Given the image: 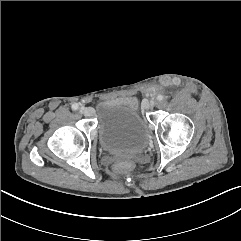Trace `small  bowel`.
Returning <instances> with one entry per match:
<instances>
[{
	"label": "small bowel",
	"mask_w": 241,
	"mask_h": 241,
	"mask_svg": "<svg viewBox=\"0 0 241 241\" xmlns=\"http://www.w3.org/2000/svg\"><path fill=\"white\" fill-rule=\"evenodd\" d=\"M122 101L130 106L136 105V99L134 97H126V98H123Z\"/></svg>",
	"instance_id": "obj_1"
}]
</instances>
